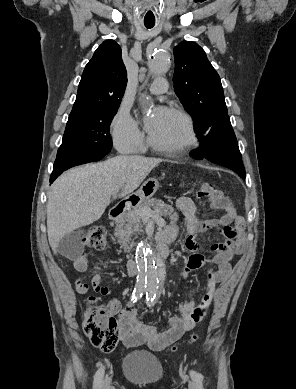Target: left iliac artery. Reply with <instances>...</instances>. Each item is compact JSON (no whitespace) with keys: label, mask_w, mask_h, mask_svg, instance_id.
Wrapping results in <instances>:
<instances>
[{"label":"left iliac artery","mask_w":296,"mask_h":389,"mask_svg":"<svg viewBox=\"0 0 296 389\" xmlns=\"http://www.w3.org/2000/svg\"><path fill=\"white\" fill-rule=\"evenodd\" d=\"M146 296L148 297V293H146ZM191 378L195 382L197 389H204L203 388V376L196 371L191 370L190 371Z\"/></svg>","instance_id":"1"}]
</instances>
